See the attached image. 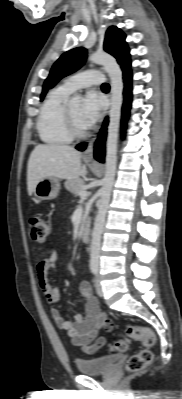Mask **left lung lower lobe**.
<instances>
[{
    "instance_id": "0a47b994",
    "label": "left lung lower lobe",
    "mask_w": 182,
    "mask_h": 399,
    "mask_svg": "<svg viewBox=\"0 0 182 399\" xmlns=\"http://www.w3.org/2000/svg\"><path fill=\"white\" fill-rule=\"evenodd\" d=\"M123 79L125 83V88H124V104H123V109H122V130L124 131L126 128V122L129 117V110L131 107V101H132V73L131 69L127 68L123 70ZM108 123V118L105 119L103 127L101 131L99 132V137L95 143V152H94V157L100 162H104V155H105V147H104V142L106 138V126ZM86 148V143H81L78 146H76V149L82 151Z\"/></svg>"
}]
</instances>
